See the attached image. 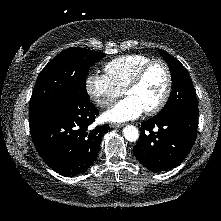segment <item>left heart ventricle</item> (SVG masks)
<instances>
[{"instance_id":"left-heart-ventricle-1","label":"left heart ventricle","mask_w":221,"mask_h":221,"mask_svg":"<svg viewBox=\"0 0 221 221\" xmlns=\"http://www.w3.org/2000/svg\"><path fill=\"white\" fill-rule=\"evenodd\" d=\"M166 86V73L161 65L152 66L141 82L131 89L127 96L132 97L143 111L154 107L161 99Z\"/></svg>"}]
</instances>
